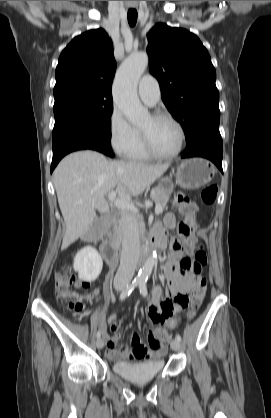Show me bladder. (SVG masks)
I'll use <instances>...</instances> for the list:
<instances>
[{"label": "bladder", "mask_w": 271, "mask_h": 418, "mask_svg": "<svg viewBox=\"0 0 271 418\" xmlns=\"http://www.w3.org/2000/svg\"><path fill=\"white\" fill-rule=\"evenodd\" d=\"M112 369L120 377L136 383L144 384L155 379L164 369V360L158 357L142 362L137 361H116Z\"/></svg>", "instance_id": "1"}]
</instances>
